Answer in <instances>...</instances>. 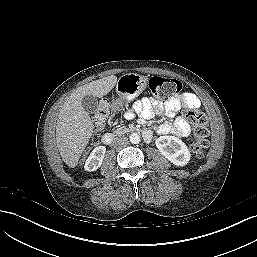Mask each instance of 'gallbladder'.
I'll use <instances>...</instances> for the list:
<instances>
[{"label": "gallbladder", "mask_w": 257, "mask_h": 257, "mask_svg": "<svg viewBox=\"0 0 257 257\" xmlns=\"http://www.w3.org/2000/svg\"><path fill=\"white\" fill-rule=\"evenodd\" d=\"M82 106L88 114L96 113L99 103L98 99L93 95H86L82 99Z\"/></svg>", "instance_id": "gallbladder-1"}]
</instances>
